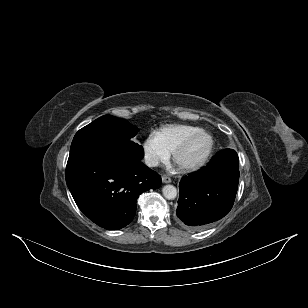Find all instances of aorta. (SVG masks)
<instances>
[{
  "label": "aorta",
  "mask_w": 308,
  "mask_h": 308,
  "mask_svg": "<svg viewBox=\"0 0 308 308\" xmlns=\"http://www.w3.org/2000/svg\"><path fill=\"white\" fill-rule=\"evenodd\" d=\"M162 192L163 196L168 200L175 199L177 196V189L173 185H165L162 189Z\"/></svg>",
  "instance_id": "obj_1"
}]
</instances>
